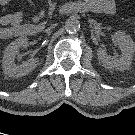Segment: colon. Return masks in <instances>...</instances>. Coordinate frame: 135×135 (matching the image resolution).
Listing matches in <instances>:
<instances>
[{
    "label": "colon",
    "mask_w": 135,
    "mask_h": 135,
    "mask_svg": "<svg viewBox=\"0 0 135 135\" xmlns=\"http://www.w3.org/2000/svg\"><path fill=\"white\" fill-rule=\"evenodd\" d=\"M133 26H134V28H135V20L133 21Z\"/></svg>",
    "instance_id": "1"
}]
</instances>
